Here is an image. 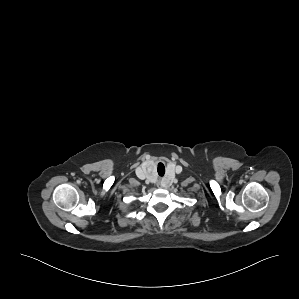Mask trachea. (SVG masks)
Masks as SVG:
<instances>
[{
  "instance_id": "trachea-1",
  "label": "trachea",
  "mask_w": 299,
  "mask_h": 299,
  "mask_svg": "<svg viewBox=\"0 0 299 299\" xmlns=\"http://www.w3.org/2000/svg\"><path fill=\"white\" fill-rule=\"evenodd\" d=\"M158 174L159 176H164L165 174V167L162 163L158 164V168H157Z\"/></svg>"
}]
</instances>
